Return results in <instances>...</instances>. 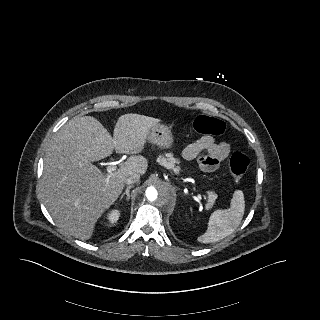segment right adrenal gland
<instances>
[{"label": "right adrenal gland", "instance_id": "2a0ac1e0", "mask_svg": "<svg viewBox=\"0 0 320 320\" xmlns=\"http://www.w3.org/2000/svg\"><path fill=\"white\" fill-rule=\"evenodd\" d=\"M132 187H133V185L127 186L125 192H123V194H122L121 197H120V201L123 199V197H124L125 195L127 196V197H126L127 201H129V199H130V189H131Z\"/></svg>", "mask_w": 320, "mask_h": 320}]
</instances>
